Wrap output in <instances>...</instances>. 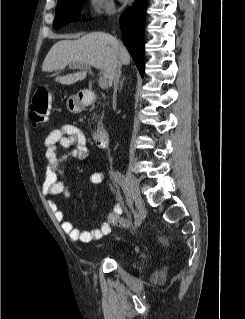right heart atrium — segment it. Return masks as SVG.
<instances>
[{
  "label": "right heart atrium",
  "instance_id": "d8ad5b80",
  "mask_svg": "<svg viewBox=\"0 0 245 319\" xmlns=\"http://www.w3.org/2000/svg\"><path fill=\"white\" fill-rule=\"evenodd\" d=\"M89 13L97 18H105L115 13L113 0H88Z\"/></svg>",
  "mask_w": 245,
  "mask_h": 319
}]
</instances>
